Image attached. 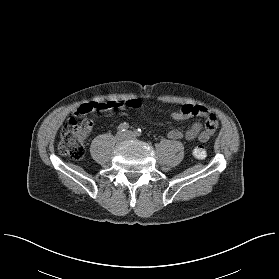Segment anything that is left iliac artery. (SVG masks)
I'll return each mask as SVG.
<instances>
[{
	"label": "left iliac artery",
	"instance_id": "obj_1",
	"mask_svg": "<svg viewBox=\"0 0 279 279\" xmlns=\"http://www.w3.org/2000/svg\"><path fill=\"white\" fill-rule=\"evenodd\" d=\"M134 134H135V136H141V134H142V130L140 129V128H138V129H136L135 131H134Z\"/></svg>",
	"mask_w": 279,
	"mask_h": 279
}]
</instances>
